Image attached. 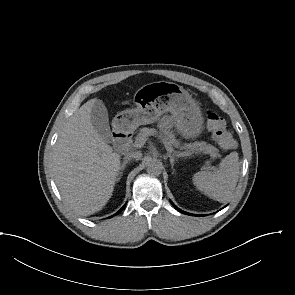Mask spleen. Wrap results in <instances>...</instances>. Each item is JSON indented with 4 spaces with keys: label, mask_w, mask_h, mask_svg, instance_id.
Here are the masks:
<instances>
[{
    "label": "spleen",
    "mask_w": 295,
    "mask_h": 295,
    "mask_svg": "<svg viewBox=\"0 0 295 295\" xmlns=\"http://www.w3.org/2000/svg\"><path fill=\"white\" fill-rule=\"evenodd\" d=\"M238 153L227 155L215 171H200L193 175L192 181L196 188L208 197L225 203L235 190L239 178Z\"/></svg>",
    "instance_id": "spleen-1"
}]
</instances>
